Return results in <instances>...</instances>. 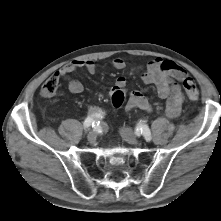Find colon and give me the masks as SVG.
I'll use <instances>...</instances> for the list:
<instances>
[{"label":"colon","mask_w":221,"mask_h":221,"mask_svg":"<svg viewBox=\"0 0 221 221\" xmlns=\"http://www.w3.org/2000/svg\"><path fill=\"white\" fill-rule=\"evenodd\" d=\"M183 87L188 98L196 102L198 100V90L195 82L190 77H185L183 79ZM59 79L54 75L45 80L40 89V94L42 97L48 98L52 97L58 93ZM125 100V91L123 89H115L111 94V104L114 109L121 107Z\"/></svg>","instance_id":"5ec220e1"}]
</instances>
